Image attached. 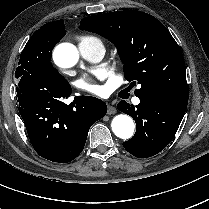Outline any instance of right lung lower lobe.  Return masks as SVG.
Here are the masks:
<instances>
[{"label":"right lung lower lobe","mask_w":209,"mask_h":209,"mask_svg":"<svg viewBox=\"0 0 209 209\" xmlns=\"http://www.w3.org/2000/svg\"><path fill=\"white\" fill-rule=\"evenodd\" d=\"M19 113L30 142L43 158L68 163L83 150L91 125L107 112L106 104L95 97L77 96L69 105L71 86L36 78H23L16 86Z\"/></svg>","instance_id":"1"}]
</instances>
